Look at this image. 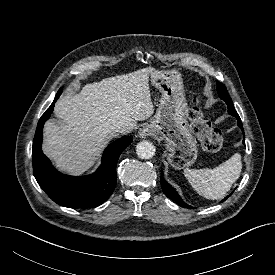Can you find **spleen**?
I'll use <instances>...</instances> for the list:
<instances>
[{
    "mask_svg": "<svg viewBox=\"0 0 275 275\" xmlns=\"http://www.w3.org/2000/svg\"><path fill=\"white\" fill-rule=\"evenodd\" d=\"M242 170L241 155L234 154L213 169H185L184 176L201 196L216 200L224 197Z\"/></svg>",
    "mask_w": 275,
    "mask_h": 275,
    "instance_id": "1",
    "label": "spleen"
}]
</instances>
